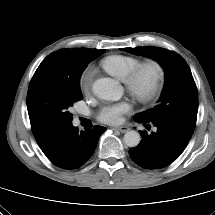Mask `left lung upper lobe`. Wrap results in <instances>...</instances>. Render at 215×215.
I'll return each mask as SVG.
<instances>
[{
    "mask_svg": "<svg viewBox=\"0 0 215 215\" xmlns=\"http://www.w3.org/2000/svg\"><path fill=\"white\" fill-rule=\"evenodd\" d=\"M130 53L150 57L165 70L166 80L158 104L134 118L169 121L193 134L198 112V91L191 70L177 53L159 47L124 48Z\"/></svg>",
    "mask_w": 215,
    "mask_h": 215,
    "instance_id": "left-lung-upper-lobe-1",
    "label": "left lung upper lobe"
}]
</instances>
